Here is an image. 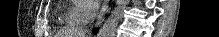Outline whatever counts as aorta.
Here are the masks:
<instances>
[{"label":"aorta","instance_id":"obj_1","mask_svg":"<svg viewBox=\"0 0 219 37\" xmlns=\"http://www.w3.org/2000/svg\"><path fill=\"white\" fill-rule=\"evenodd\" d=\"M129 0H118L115 9L111 12L110 16L106 19L102 28L100 29L97 37H114L119 20L122 16L123 10L128 5Z\"/></svg>","mask_w":219,"mask_h":37}]
</instances>
